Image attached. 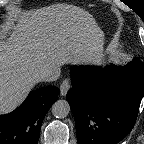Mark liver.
Listing matches in <instances>:
<instances>
[{
    "label": "liver",
    "instance_id": "liver-1",
    "mask_svg": "<svg viewBox=\"0 0 144 144\" xmlns=\"http://www.w3.org/2000/svg\"><path fill=\"white\" fill-rule=\"evenodd\" d=\"M0 37V114L13 111L44 71L102 61L104 33L80 7L53 4L14 10Z\"/></svg>",
    "mask_w": 144,
    "mask_h": 144
}]
</instances>
